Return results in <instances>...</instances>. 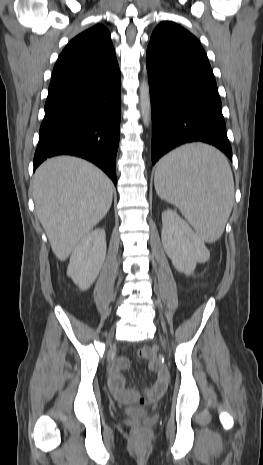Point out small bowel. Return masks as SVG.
I'll return each mask as SVG.
<instances>
[{"label":"small bowel","instance_id":"1","mask_svg":"<svg viewBox=\"0 0 263 465\" xmlns=\"http://www.w3.org/2000/svg\"><path fill=\"white\" fill-rule=\"evenodd\" d=\"M129 366V361L125 357H120L115 360L113 363L109 378H108V385L113 393V395L119 401L126 402L138 397V393L134 390H128L125 388V379L122 374V371L127 369ZM157 370V377L154 384L147 389V394L151 396L160 395L164 392L167 382L168 376L165 370L161 368H156Z\"/></svg>","mask_w":263,"mask_h":465}]
</instances>
